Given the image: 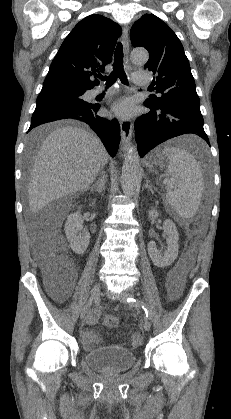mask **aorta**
I'll list each match as a JSON object with an SVG mask.
<instances>
[{
    "mask_svg": "<svg viewBox=\"0 0 231 419\" xmlns=\"http://www.w3.org/2000/svg\"><path fill=\"white\" fill-rule=\"evenodd\" d=\"M132 62L145 64L149 54L145 49H134L131 52ZM140 182L139 154L135 146H131L122 166L121 185L125 195L131 196L135 193Z\"/></svg>",
    "mask_w": 231,
    "mask_h": 419,
    "instance_id": "1",
    "label": "aorta"
}]
</instances>
